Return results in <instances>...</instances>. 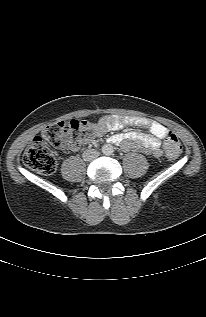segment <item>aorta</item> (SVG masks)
<instances>
[{
    "label": "aorta",
    "instance_id": "762f6f07",
    "mask_svg": "<svg viewBox=\"0 0 206 317\" xmlns=\"http://www.w3.org/2000/svg\"><path fill=\"white\" fill-rule=\"evenodd\" d=\"M102 152L105 155H111L114 152L113 146L111 144H105L102 147Z\"/></svg>",
    "mask_w": 206,
    "mask_h": 317
}]
</instances>
